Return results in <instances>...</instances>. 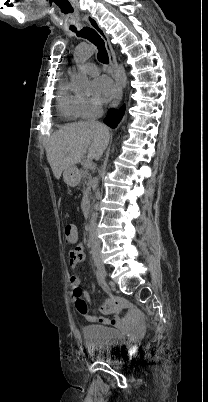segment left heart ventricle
I'll list each match as a JSON object with an SVG mask.
<instances>
[{"mask_svg":"<svg viewBox=\"0 0 208 402\" xmlns=\"http://www.w3.org/2000/svg\"><path fill=\"white\" fill-rule=\"evenodd\" d=\"M90 94L98 97V92L94 88H91V87H90Z\"/></svg>","mask_w":208,"mask_h":402,"instance_id":"left-heart-ventricle-1","label":"left heart ventricle"}]
</instances>
